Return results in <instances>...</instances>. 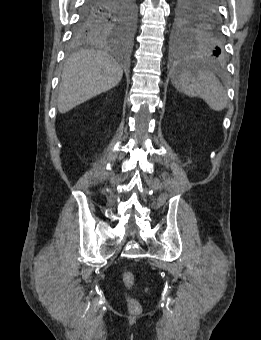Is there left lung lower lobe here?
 <instances>
[{
  "label": "left lung lower lobe",
  "instance_id": "obj_1",
  "mask_svg": "<svg viewBox=\"0 0 261 340\" xmlns=\"http://www.w3.org/2000/svg\"><path fill=\"white\" fill-rule=\"evenodd\" d=\"M203 5L207 10H214L216 7H218V0H205L203 2Z\"/></svg>",
  "mask_w": 261,
  "mask_h": 340
}]
</instances>
